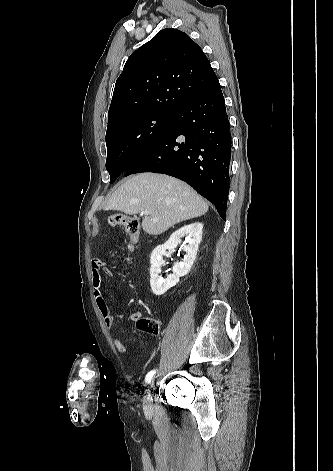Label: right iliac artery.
Returning <instances> with one entry per match:
<instances>
[{
	"mask_svg": "<svg viewBox=\"0 0 333 471\" xmlns=\"http://www.w3.org/2000/svg\"><path fill=\"white\" fill-rule=\"evenodd\" d=\"M155 373H156V370H152V371L148 372L146 377H145V382L149 383Z\"/></svg>",
	"mask_w": 333,
	"mask_h": 471,
	"instance_id": "obj_1",
	"label": "right iliac artery"
}]
</instances>
